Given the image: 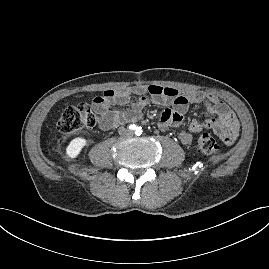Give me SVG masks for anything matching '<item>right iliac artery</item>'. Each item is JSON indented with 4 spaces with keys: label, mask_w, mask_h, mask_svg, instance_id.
I'll return each instance as SVG.
<instances>
[{
    "label": "right iliac artery",
    "mask_w": 269,
    "mask_h": 269,
    "mask_svg": "<svg viewBox=\"0 0 269 269\" xmlns=\"http://www.w3.org/2000/svg\"><path fill=\"white\" fill-rule=\"evenodd\" d=\"M131 131H135L137 129L135 124H130L128 127Z\"/></svg>",
    "instance_id": "right-iliac-artery-1"
}]
</instances>
